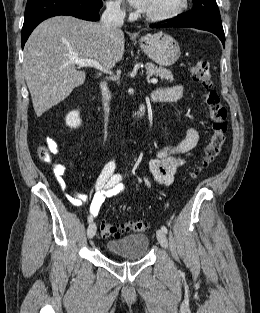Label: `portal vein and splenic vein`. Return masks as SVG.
Returning <instances> with one entry per match:
<instances>
[{
  "instance_id": "obj_1",
  "label": "portal vein and splenic vein",
  "mask_w": 260,
  "mask_h": 313,
  "mask_svg": "<svg viewBox=\"0 0 260 313\" xmlns=\"http://www.w3.org/2000/svg\"><path fill=\"white\" fill-rule=\"evenodd\" d=\"M70 62L78 65V67H93V68H96L100 71H104V72L112 75L111 71L105 69L98 61H96L94 59H80L77 56H71ZM150 82L153 84H156L158 82V80L155 78H152L150 80Z\"/></svg>"
}]
</instances>
